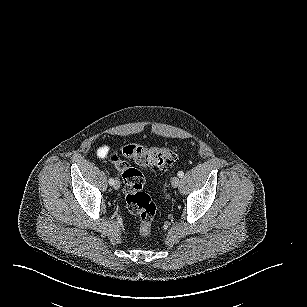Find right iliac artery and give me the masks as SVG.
I'll return each mask as SVG.
<instances>
[{
  "instance_id": "obj_1",
  "label": "right iliac artery",
  "mask_w": 307,
  "mask_h": 307,
  "mask_svg": "<svg viewBox=\"0 0 307 307\" xmlns=\"http://www.w3.org/2000/svg\"><path fill=\"white\" fill-rule=\"evenodd\" d=\"M108 182H109L110 185L114 184V180L112 178H110Z\"/></svg>"
}]
</instances>
